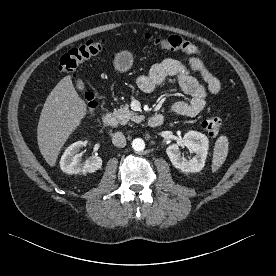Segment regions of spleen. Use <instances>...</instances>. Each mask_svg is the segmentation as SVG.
I'll use <instances>...</instances> for the list:
<instances>
[{"label":"spleen","mask_w":276,"mask_h":276,"mask_svg":"<svg viewBox=\"0 0 276 276\" xmlns=\"http://www.w3.org/2000/svg\"><path fill=\"white\" fill-rule=\"evenodd\" d=\"M228 139L226 136H219L215 142L213 159H212V172H216L225 162L228 155Z\"/></svg>","instance_id":"1"}]
</instances>
